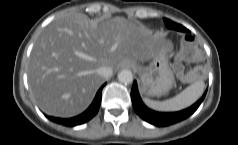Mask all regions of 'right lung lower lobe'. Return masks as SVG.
Here are the masks:
<instances>
[{"mask_svg": "<svg viewBox=\"0 0 238 145\" xmlns=\"http://www.w3.org/2000/svg\"><path fill=\"white\" fill-rule=\"evenodd\" d=\"M104 86H105V84L101 86V88L98 90L90 107L85 112H83L81 115H78L73 118H68V119L55 118V117L48 116V119H50L51 121H53L55 123L62 124L64 126H69V127L81 125V124L89 121L91 118H93L97 114V112L99 110L100 103H101L102 89Z\"/></svg>", "mask_w": 238, "mask_h": 145, "instance_id": "right-lung-lower-lobe-1", "label": "right lung lower lobe"}]
</instances>
